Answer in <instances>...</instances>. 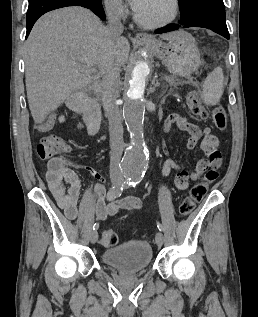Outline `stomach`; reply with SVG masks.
Wrapping results in <instances>:
<instances>
[{"mask_svg": "<svg viewBox=\"0 0 258 317\" xmlns=\"http://www.w3.org/2000/svg\"><path fill=\"white\" fill-rule=\"evenodd\" d=\"M140 44L144 48H150L151 52L161 58L174 76L188 78L191 72L200 66V52L195 38L185 30H177L176 40H170V42L147 38Z\"/></svg>", "mask_w": 258, "mask_h": 317, "instance_id": "1", "label": "stomach"}]
</instances>
